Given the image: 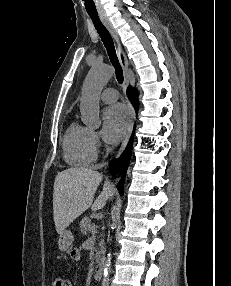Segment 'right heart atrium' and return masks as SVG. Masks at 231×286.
<instances>
[{"label": "right heart atrium", "instance_id": "1", "mask_svg": "<svg viewBox=\"0 0 231 286\" xmlns=\"http://www.w3.org/2000/svg\"><path fill=\"white\" fill-rule=\"evenodd\" d=\"M92 139L95 145H98L100 143L99 135L95 132H92Z\"/></svg>", "mask_w": 231, "mask_h": 286}]
</instances>
